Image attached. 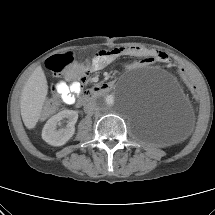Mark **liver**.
Instances as JSON below:
<instances>
[{"instance_id":"1","label":"liver","mask_w":215,"mask_h":215,"mask_svg":"<svg viewBox=\"0 0 215 215\" xmlns=\"http://www.w3.org/2000/svg\"><path fill=\"white\" fill-rule=\"evenodd\" d=\"M48 94V83L41 66L36 67L23 87L20 110L24 125L33 129L42 113Z\"/></svg>"}]
</instances>
